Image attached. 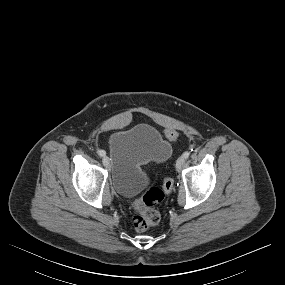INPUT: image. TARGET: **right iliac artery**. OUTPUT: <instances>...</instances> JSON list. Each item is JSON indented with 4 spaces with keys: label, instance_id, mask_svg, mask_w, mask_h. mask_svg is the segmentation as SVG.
Here are the masks:
<instances>
[{
    "label": "right iliac artery",
    "instance_id": "obj_1",
    "mask_svg": "<svg viewBox=\"0 0 285 285\" xmlns=\"http://www.w3.org/2000/svg\"><path fill=\"white\" fill-rule=\"evenodd\" d=\"M106 152L104 150H98V155L99 156H105Z\"/></svg>",
    "mask_w": 285,
    "mask_h": 285
}]
</instances>
